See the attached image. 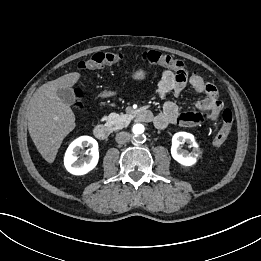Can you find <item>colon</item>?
Here are the masks:
<instances>
[{
    "label": "colon",
    "instance_id": "obj_1",
    "mask_svg": "<svg viewBox=\"0 0 261 261\" xmlns=\"http://www.w3.org/2000/svg\"><path fill=\"white\" fill-rule=\"evenodd\" d=\"M134 57L141 58L144 62L155 65H162L177 72L187 73L184 63L168 54H163L156 50L144 51L141 54H134ZM125 56L118 52H97L86 60L80 62L79 67L83 70H95L105 65H112L123 61ZM77 98L81 97V92H76ZM79 105V104H77ZM233 122V114L230 109L222 112V126L216 133L213 144L216 147L222 146L227 140Z\"/></svg>",
    "mask_w": 261,
    "mask_h": 261
}]
</instances>
